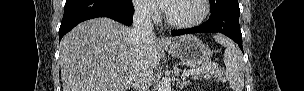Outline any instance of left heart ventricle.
<instances>
[{"label": "left heart ventricle", "mask_w": 304, "mask_h": 91, "mask_svg": "<svg viewBox=\"0 0 304 91\" xmlns=\"http://www.w3.org/2000/svg\"><path fill=\"white\" fill-rule=\"evenodd\" d=\"M202 6L199 0H175L167 3L169 17L178 22H188L200 16Z\"/></svg>", "instance_id": "obj_1"}]
</instances>
